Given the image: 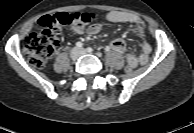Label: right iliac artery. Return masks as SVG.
Segmentation results:
<instances>
[{"label": "right iliac artery", "instance_id": "obj_1", "mask_svg": "<svg viewBox=\"0 0 194 133\" xmlns=\"http://www.w3.org/2000/svg\"><path fill=\"white\" fill-rule=\"evenodd\" d=\"M82 46H83V44H82L81 42H77V43H76V47L82 48Z\"/></svg>", "mask_w": 194, "mask_h": 133}]
</instances>
